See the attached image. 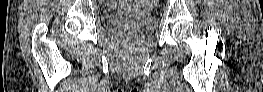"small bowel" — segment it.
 <instances>
[{"label":"small bowel","instance_id":"small-bowel-1","mask_svg":"<svg viewBox=\"0 0 263 92\" xmlns=\"http://www.w3.org/2000/svg\"><path fill=\"white\" fill-rule=\"evenodd\" d=\"M123 4L130 5V3H128V2H126V3H123Z\"/></svg>","mask_w":263,"mask_h":92}]
</instances>
